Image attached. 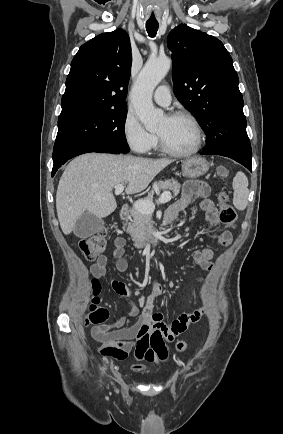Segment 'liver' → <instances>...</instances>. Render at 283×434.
Returning <instances> with one entry per match:
<instances>
[{"label": "liver", "instance_id": "6515ba94", "mask_svg": "<svg viewBox=\"0 0 283 434\" xmlns=\"http://www.w3.org/2000/svg\"><path fill=\"white\" fill-rule=\"evenodd\" d=\"M173 161L131 155L87 153L73 159L63 172L56 193V209L65 235L85 212L98 218L117 207L113 188L127 183L126 194L145 190L154 177Z\"/></svg>", "mask_w": 283, "mask_h": 434}]
</instances>
